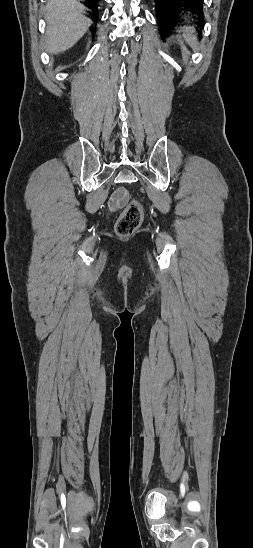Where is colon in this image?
<instances>
[{"label":"colon","mask_w":253,"mask_h":548,"mask_svg":"<svg viewBox=\"0 0 253 548\" xmlns=\"http://www.w3.org/2000/svg\"><path fill=\"white\" fill-rule=\"evenodd\" d=\"M143 218L144 211L141 203L137 200L130 201L116 222V234L121 237L132 235L141 225Z\"/></svg>","instance_id":"obj_1"}]
</instances>
